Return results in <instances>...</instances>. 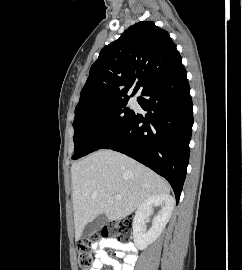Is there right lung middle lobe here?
Returning <instances> with one entry per match:
<instances>
[{
  "mask_svg": "<svg viewBox=\"0 0 242 270\" xmlns=\"http://www.w3.org/2000/svg\"><path fill=\"white\" fill-rule=\"evenodd\" d=\"M127 103L128 99L112 101L75 113L72 159L100 149L125 126L134 114Z\"/></svg>",
  "mask_w": 242,
  "mask_h": 270,
  "instance_id": "1",
  "label": "right lung middle lobe"
}]
</instances>
